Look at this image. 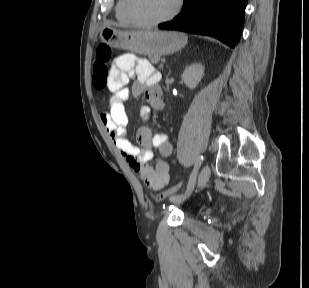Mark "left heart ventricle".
<instances>
[{"mask_svg":"<svg viewBox=\"0 0 309 288\" xmlns=\"http://www.w3.org/2000/svg\"><path fill=\"white\" fill-rule=\"evenodd\" d=\"M176 0H132V11L144 21H152L169 14Z\"/></svg>","mask_w":309,"mask_h":288,"instance_id":"left-heart-ventricle-1","label":"left heart ventricle"}]
</instances>
